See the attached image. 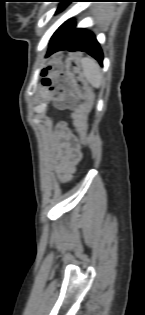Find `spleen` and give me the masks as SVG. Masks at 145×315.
<instances>
[{
    "label": "spleen",
    "mask_w": 145,
    "mask_h": 315,
    "mask_svg": "<svg viewBox=\"0 0 145 315\" xmlns=\"http://www.w3.org/2000/svg\"><path fill=\"white\" fill-rule=\"evenodd\" d=\"M80 63L87 82L94 88H100L103 75L98 63L91 57L81 58Z\"/></svg>",
    "instance_id": "3e777b00"
}]
</instances>
